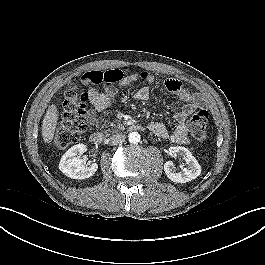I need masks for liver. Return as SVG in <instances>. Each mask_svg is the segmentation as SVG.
I'll return each mask as SVG.
<instances>
[{
    "instance_id": "liver-1",
    "label": "liver",
    "mask_w": 265,
    "mask_h": 265,
    "mask_svg": "<svg viewBox=\"0 0 265 265\" xmlns=\"http://www.w3.org/2000/svg\"><path fill=\"white\" fill-rule=\"evenodd\" d=\"M58 122L57 107L52 104L42 122V137L45 143L49 144L53 140L55 129Z\"/></svg>"
}]
</instances>
